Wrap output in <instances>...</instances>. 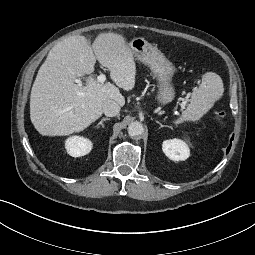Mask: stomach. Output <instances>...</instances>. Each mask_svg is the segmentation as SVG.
<instances>
[{
	"label": "stomach",
	"instance_id": "1",
	"mask_svg": "<svg viewBox=\"0 0 255 255\" xmlns=\"http://www.w3.org/2000/svg\"><path fill=\"white\" fill-rule=\"evenodd\" d=\"M128 47L138 61L148 65L156 78L158 82V102L162 105L170 103L175 97V89L172 83L175 67L172 62L156 46L144 38H134L128 44Z\"/></svg>",
	"mask_w": 255,
	"mask_h": 255
}]
</instances>
